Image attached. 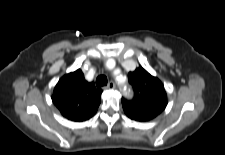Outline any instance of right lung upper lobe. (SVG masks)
I'll return each mask as SVG.
<instances>
[{"label":"right lung upper lobe","mask_w":225,"mask_h":155,"mask_svg":"<svg viewBox=\"0 0 225 155\" xmlns=\"http://www.w3.org/2000/svg\"><path fill=\"white\" fill-rule=\"evenodd\" d=\"M101 89L85 80L80 69L64 75L54 88L52 101L68 120L81 122L95 115L101 102Z\"/></svg>","instance_id":"right-lung-upper-lobe-1"}]
</instances>
